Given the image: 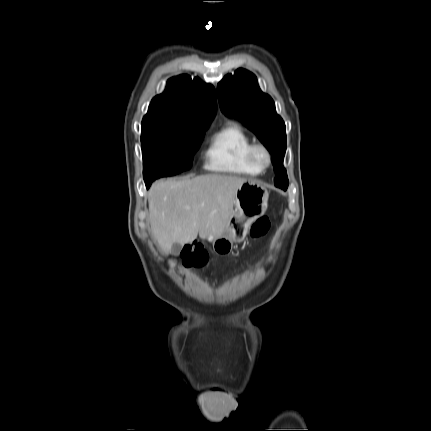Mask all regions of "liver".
<instances>
[{"instance_id":"6515ba94","label":"liver","mask_w":431,"mask_h":431,"mask_svg":"<svg viewBox=\"0 0 431 431\" xmlns=\"http://www.w3.org/2000/svg\"><path fill=\"white\" fill-rule=\"evenodd\" d=\"M245 178L208 174L155 182L148 193L151 230L161 251L174 243L219 236L233 213L235 194Z\"/></svg>"}]
</instances>
